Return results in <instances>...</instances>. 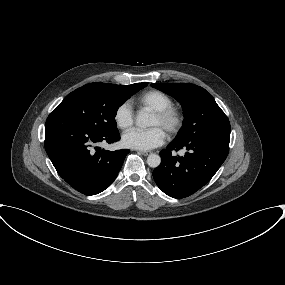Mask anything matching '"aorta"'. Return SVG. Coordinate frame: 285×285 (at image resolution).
I'll return each instance as SVG.
<instances>
[{"instance_id":"762f6f07","label":"aorta","mask_w":285,"mask_h":285,"mask_svg":"<svg viewBox=\"0 0 285 285\" xmlns=\"http://www.w3.org/2000/svg\"><path fill=\"white\" fill-rule=\"evenodd\" d=\"M150 124H151L150 117L148 113H146L145 111H139L136 116V125L141 128H146L150 126ZM160 163H161V158L157 154H150L147 157V164L152 168L158 167Z\"/></svg>"}]
</instances>
